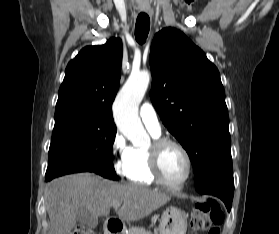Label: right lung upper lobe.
Returning <instances> with one entry per match:
<instances>
[{"label": "right lung upper lobe", "mask_w": 279, "mask_h": 234, "mask_svg": "<svg viewBox=\"0 0 279 234\" xmlns=\"http://www.w3.org/2000/svg\"><path fill=\"white\" fill-rule=\"evenodd\" d=\"M121 64L119 38L83 48L66 67L55 114L81 112L114 122L111 107L119 88Z\"/></svg>", "instance_id": "obj_1"}]
</instances>
